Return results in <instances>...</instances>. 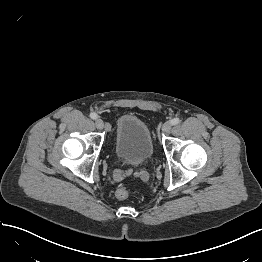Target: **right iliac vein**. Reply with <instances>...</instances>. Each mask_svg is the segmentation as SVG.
I'll return each mask as SVG.
<instances>
[{"label": "right iliac vein", "mask_w": 262, "mask_h": 262, "mask_svg": "<svg viewBox=\"0 0 262 262\" xmlns=\"http://www.w3.org/2000/svg\"><path fill=\"white\" fill-rule=\"evenodd\" d=\"M95 124H96V127L98 129H103V127H104V123H103L102 119H100V118L96 119Z\"/></svg>", "instance_id": "63e3f726"}]
</instances>
